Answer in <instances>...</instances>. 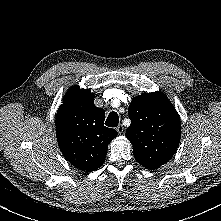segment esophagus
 I'll return each instance as SVG.
<instances>
[{
    "label": "esophagus",
    "instance_id": "34e87169",
    "mask_svg": "<svg viewBox=\"0 0 221 221\" xmlns=\"http://www.w3.org/2000/svg\"><path fill=\"white\" fill-rule=\"evenodd\" d=\"M116 130L119 134H122L123 131H124V127L122 124H119L117 127H116Z\"/></svg>",
    "mask_w": 221,
    "mask_h": 221
}]
</instances>
